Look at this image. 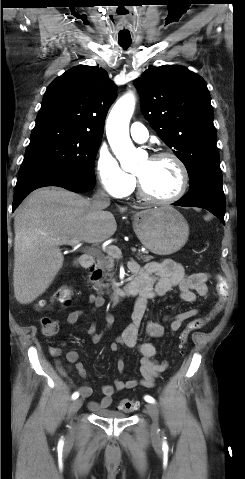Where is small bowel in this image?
Here are the masks:
<instances>
[{"mask_svg":"<svg viewBox=\"0 0 245 479\" xmlns=\"http://www.w3.org/2000/svg\"><path fill=\"white\" fill-rule=\"evenodd\" d=\"M129 269L137 275V279L141 283V290L135 301L130 323L110 344V349L118 351L123 346L137 350L141 355L140 378L126 381L115 380L113 384L104 385L102 387V399L100 401H91L88 404L89 409L93 412H100L109 408L116 392L134 389L138 386L153 388L156 379L167 370L168 363L156 359L157 348L155 344L152 341H138V332L143 324L148 302L153 298L164 296L173 288H178L179 298L187 303H194L199 297H206L210 293L208 273L187 274L182 265L173 260L151 261L144 266H140L137 262H131ZM89 302L94 308H99L105 304V299L101 295L91 294ZM198 312V309L192 308L177 314L171 320L170 330L172 332L178 331L187 320L196 316ZM82 315V310L72 311L67 317V323L74 325ZM107 322V329H109L113 322L110 315L107 316ZM145 327L148 336L152 339L161 337L164 333V328L152 321H148ZM89 334L94 342L101 341L104 336V333L96 332L94 325L89 328ZM48 352L50 356L55 358L56 368L61 376L68 377V372L75 370L80 377H87V370L79 361V355L76 351L71 350L66 353L68 366L64 365L59 358L61 355L59 347L50 346ZM116 366L119 373H124L125 362L122 357L118 358ZM78 390L84 398L92 394V389L89 385H83Z\"/></svg>","mask_w":245,"mask_h":479,"instance_id":"small-bowel-1","label":"small bowel"}]
</instances>
